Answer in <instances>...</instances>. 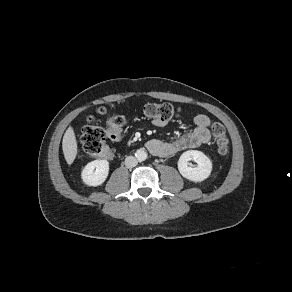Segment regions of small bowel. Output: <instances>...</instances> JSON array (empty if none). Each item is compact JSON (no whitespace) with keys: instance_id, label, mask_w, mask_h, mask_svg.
Instances as JSON below:
<instances>
[{"instance_id":"small-bowel-1","label":"small bowel","mask_w":292,"mask_h":292,"mask_svg":"<svg viewBox=\"0 0 292 292\" xmlns=\"http://www.w3.org/2000/svg\"><path fill=\"white\" fill-rule=\"evenodd\" d=\"M153 124L158 127L166 125V121L154 120ZM195 127L186 133L181 134L173 141L165 142L159 139H152L148 142V149L154 155L168 157L181 151L197 148L210 142V118L205 114H197L194 117Z\"/></svg>"}]
</instances>
